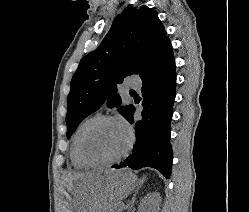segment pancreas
I'll use <instances>...</instances> for the list:
<instances>
[{
    "label": "pancreas",
    "instance_id": "pancreas-1",
    "mask_svg": "<svg viewBox=\"0 0 249 212\" xmlns=\"http://www.w3.org/2000/svg\"><path fill=\"white\" fill-rule=\"evenodd\" d=\"M101 212H117V208H114L112 204H104L101 208Z\"/></svg>",
    "mask_w": 249,
    "mask_h": 212
}]
</instances>
